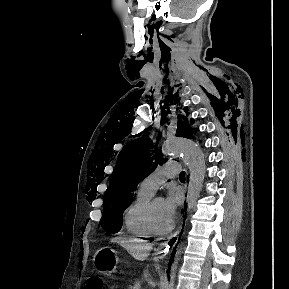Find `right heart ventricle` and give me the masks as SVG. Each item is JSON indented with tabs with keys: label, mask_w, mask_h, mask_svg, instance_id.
Returning <instances> with one entry per match:
<instances>
[{
	"label": "right heart ventricle",
	"mask_w": 289,
	"mask_h": 289,
	"mask_svg": "<svg viewBox=\"0 0 289 289\" xmlns=\"http://www.w3.org/2000/svg\"><path fill=\"white\" fill-rule=\"evenodd\" d=\"M153 194L138 189L136 197L124 213V224L129 234L135 237L149 238L154 234L148 227L145 211Z\"/></svg>",
	"instance_id": "right-heart-ventricle-1"
}]
</instances>
